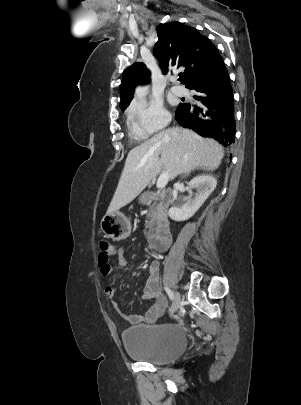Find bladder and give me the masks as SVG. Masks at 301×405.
Here are the masks:
<instances>
[{
    "instance_id": "obj_1",
    "label": "bladder",
    "mask_w": 301,
    "mask_h": 405,
    "mask_svg": "<svg viewBox=\"0 0 301 405\" xmlns=\"http://www.w3.org/2000/svg\"><path fill=\"white\" fill-rule=\"evenodd\" d=\"M126 353L133 359L167 364L178 359L187 348V336L181 325L161 323L135 326L122 332Z\"/></svg>"
}]
</instances>
